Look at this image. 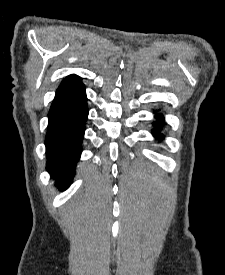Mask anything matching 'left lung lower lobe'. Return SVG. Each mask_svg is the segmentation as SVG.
<instances>
[{
  "instance_id": "0a47b994",
  "label": "left lung lower lobe",
  "mask_w": 225,
  "mask_h": 275,
  "mask_svg": "<svg viewBox=\"0 0 225 275\" xmlns=\"http://www.w3.org/2000/svg\"><path fill=\"white\" fill-rule=\"evenodd\" d=\"M155 113V112H154ZM157 121H155L153 123V126L155 127V129L152 131V133L154 134V136L158 139V140H162L163 139V134H161V132L159 131V129L162 128V126L165 124L164 122V117L163 115H156Z\"/></svg>"
}]
</instances>
